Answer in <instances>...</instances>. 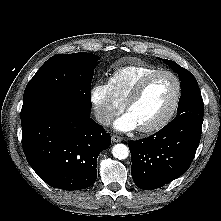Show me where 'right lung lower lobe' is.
Wrapping results in <instances>:
<instances>
[{
	"label": "right lung lower lobe",
	"instance_id": "1",
	"mask_svg": "<svg viewBox=\"0 0 221 221\" xmlns=\"http://www.w3.org/2000/svg\"><path fill=\"white\" fill-rule=\"evenodd\" d=\"M21 122L27 161L45 183L81 190L95 182L98 154L110 146L111 137L88 111L51 104Z\"/></svg>",
	"mask_w": 221,
	"mask_h": 221
}]
</instances>
